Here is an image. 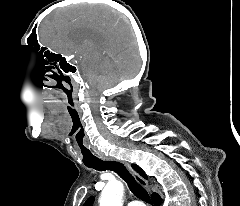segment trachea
<instances>
[{"label": "trachea", "mask_w": 240, "mask_h": 206, "mask_svg": "<svg viewBox=\"0 0 240 206\" xmlns=\"http://www.w3.org/2000/svg\"><path fill=\"white\" fill-rule=\"evenodd\" d=\"M85 165L98 171L111 170L116 172L127 183L130 191L135 196L147 203H151L148 192L135 180L122 163L118 161H103L101 159H97L93 162L86 163Z\"/></svg>", "instance_id": "3493384b"}]
</instances>
